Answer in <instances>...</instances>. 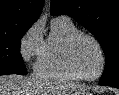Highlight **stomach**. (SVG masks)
<instances>
[{"mask_svg":"<svg viewBox=\"0 0 119 95\" xmlns=\"http://www.w3.org/2000/svg\"><path fill=\"white\" fill-rule=\"evenodd\" d=\"M66 95H92L88 90H86L85 88H76L72 91H70L68 94Z\"/></svg>","mask_w":119,"mask_h":95,"instance_id":"0dacf381","label":"stomach"}]
</instances>
